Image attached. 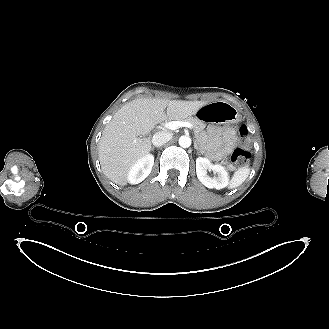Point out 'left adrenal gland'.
<instances>
[{"label": "left adrenal gland", "instance_id": "left-adrenal-gland-1", "mask_svg": "<svg viewBox=\"0 0 329 329\" xmlns=\"http://www.w3.org/2000/svg\"><path fill=\"white\" fill-rule=\"evenodd\" d=\"M194 148L198 151V154L200 155V151H199V149H198L197 144H195Z\"/></svg>", "mask_w": 329, "mask_h": 329}]
</instances>
